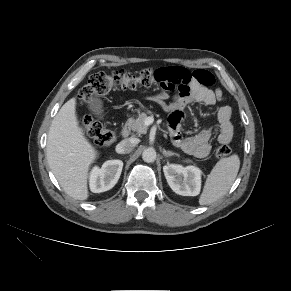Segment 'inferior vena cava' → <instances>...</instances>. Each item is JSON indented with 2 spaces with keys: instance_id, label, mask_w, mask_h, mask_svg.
Returning a JSON list of instances; mask_svg holds the SVG:
<instances>
[{
  "instance_id": "1",
  "label": "inferior vena cava",
  "mask_w": 291,
  "mask_h": 291,
  "mask_svg": "<svg viewBox=\"0 0 291 291\" xmlns=\"http://www.w3.org/2000/svg\"><path fill=\"white\" fill-rule=\"evenodd\" d=\"M136 144L137 142L133 138L124 139L117 145L116 150L120 154L130 153Z\"/></svg>"
}]
</instances>
